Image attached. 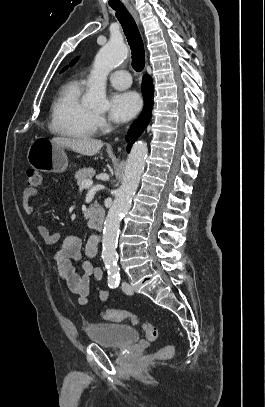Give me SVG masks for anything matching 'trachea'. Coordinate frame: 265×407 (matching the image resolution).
<instances>
[{"mask_svg": "<svg viewBox=\"0 0 265 407\" xmlns=\"http://www.w3.org/2000/svg\"><path fill=\"white\" fill-rule=\"evenodd\" d=\"M112 8L116 11V17L121 23L130 45L132 51V66L135 71L140 72L145 66V50L136 22L125 6Z\"/></svg>", "mask_w": 265, "mask_h": 407, "instance_id": "3493384b", "label": "trachea"}]
</instances>
